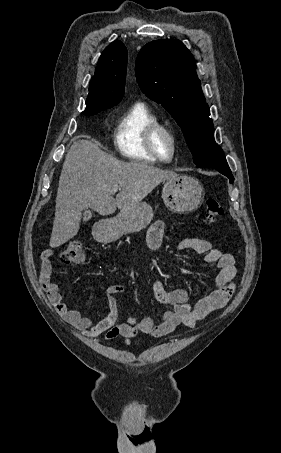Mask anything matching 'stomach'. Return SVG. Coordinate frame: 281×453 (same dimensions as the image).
Instances as JSON below:
<instances>
[{
    "label": "stomach",
    "mask_w": 281,
    "mask_h": 453,
    "mask_svg": "<svg viewBox=\"0 0 281 453\" xmlns=\"http://www.w3.org/2000/svg\"><path fill=\"white\" fill-rule=\"evenodd\" d=\"M162 198L172 212H193L204 198V188L194 176L181 174L164 180ZM153 218V208L147 202H137L135 206L121 208L114 218H107L94 229V237L100 243H112L122 235L139 233L148 227Z\"/></svg>",
    "instance_id": "1"
}]
</instances>
